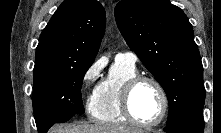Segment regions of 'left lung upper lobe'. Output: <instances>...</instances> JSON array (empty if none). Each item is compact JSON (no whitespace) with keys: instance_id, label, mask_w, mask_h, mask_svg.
<instances>
[{"instance_id":"obj_1","label":"left lung upper lobe","mask_w":221,"mask_h":133,"mask_svg":"<svg viewBox=\"0 0 221 133\" xmlns=\"http://www.w3.org/2000/svg\"><path fill=\"white\" fill-rule=\"evenodd\" d=\"M115 18L128 46L166 92L167 125L203 108V66L183 11L169 0H122Z\"/></svg>"}]
</instances>
